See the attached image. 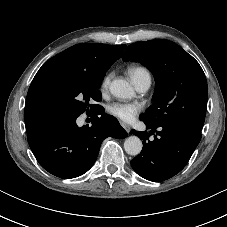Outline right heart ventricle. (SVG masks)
Segmentation results:
<instances>
[{"instance_id":"right-heart-ventricle-1","label":"right heart ventricle","mask_w":227,"mask_h":227,"mask_svg":"<svg viewBox=\"0 0 227 227\" xmlns=\"http://www.w3.org/2000/svg\"><path fill=\"white\" fill-rule=\"evenodd\" d=\"M129 75L134 83L143 77H150L149 71L142 66H133L129 69Z\"/></svg>"}]
</instances>
